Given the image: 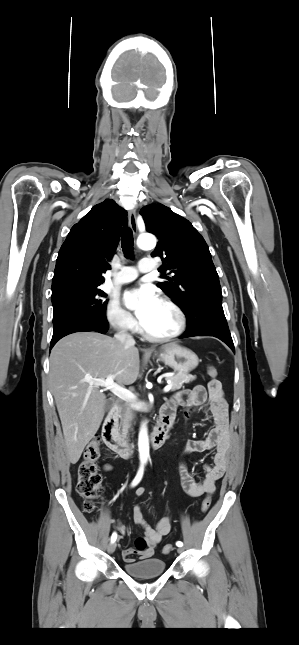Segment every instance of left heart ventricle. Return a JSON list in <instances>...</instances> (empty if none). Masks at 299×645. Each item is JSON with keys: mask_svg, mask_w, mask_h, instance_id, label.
Listing matches in <instances>:
<instances>
[{"mask_svg": "<svg viewBox=\"0 0 299 645\" xmlns=\"http://www.w3.org/2000/svg\"><path fill=\"white\" fill-rule=\"evenodd\" d=\"M177 326L175 313L165 304L159 302L156 309L151 313L143 328L154 335L171 333Z\"/></svg>", "mask_w": 299, "mask_h": 645, "instance_id": "obj_1", "label": "left heart ventricle"}]
</instances>
